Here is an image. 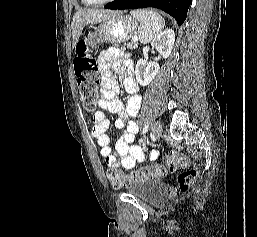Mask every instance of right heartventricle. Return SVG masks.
I'll return each instance as SVG.
<instances>
[{
    "instance_id": "obj_1",
    "label": "right heart ventricle",
    "mask_w": 257,
    "mask_h": 237,
    "mask_svg": "<svg viewBox=\"0 0 257 237\" xmlns=\"http://www.w3.org/2000/svg\"><path fill=\"white\" fill-rule=\"evenodd\" d=\"M81 2H82L84 5H89V4L86 3L85 0H81Z\"/></svg>"
}]
</instances>
